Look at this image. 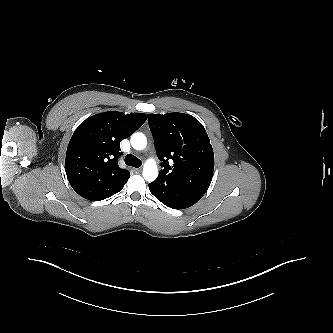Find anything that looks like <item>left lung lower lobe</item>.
<instances>
[{"instance_id":"0a47b994","label":"left lung lower lobe","mask_w":333,"mask_h":333,"mask_svg":"<svg viewBox=\"0 0 333 333\" xmlns=\"http://www.w3.org/2000/svg\"><path fill=\"white\" fill-rule=\"evenodd\" d=\"M159 181L148 184L151 193L164 205L173 209H185L194 205L203 195L158 185Z\"/></svg>"}]
</instances>
